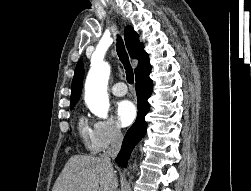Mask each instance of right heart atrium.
<instances>
[{"label":"right heart atrium","mask_w":251,"mask_h":191,"mask_svg":"<svg viewBox=\"0 0 251 191\" xmlns=\"http://www.w3.org/2000/svg\"><path fill=\"white\" fill-rule=\"evenodd\" d=\"M92 140L97 151H103L112 145L119 144L123 134L111 119H100L94 123Z\"/></svg>","instance_id":"obj_1"}]
</instances>
